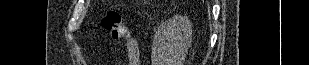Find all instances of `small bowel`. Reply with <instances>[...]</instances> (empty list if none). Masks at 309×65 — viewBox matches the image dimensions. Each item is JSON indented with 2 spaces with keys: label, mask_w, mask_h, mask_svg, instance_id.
I'll return each mask as SVG.
<instances>
[{
  "label": "small bowel",
  "mask_w": 309,
  "mask_h": 65,
  "mask_svg": "<svg viewBox=\"0 0 309 65\" xmlns=\"http://www.w3.org/2000/svg\"><path fill=\"white\" fill-rule=\"evenodd\" d=\"M127 56L130 65H139L140 64V53L137 40L132 37H127Z\"/></svg>",
  "instance_id": "1"
}]
</instances>
